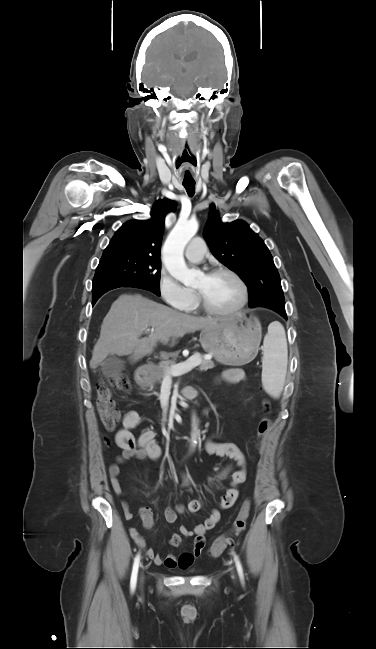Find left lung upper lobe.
<instances>
[{
  "label": "left lung upper lobe",
  "mask_w": 376,
  "mask_h": 649,
  "mask_svg": "<svg viewBox=\"0 0 376 649\" xmlns=\"http://www.w3.org/2000/svg\"><path fill=\"white\" fill-rule=\"evenodd\" d=\"M211 213L204 229L213 255L225 266L240 274L249 288V306H264L281 314L285 300L279 273L272 255L243 220L222 223L211 204Z\"/></svg>",
  "instance_id": "left-lung-upper-lobe-1"
}]
</instances>
